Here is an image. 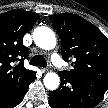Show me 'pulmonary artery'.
I'll list each match as a JSON object with an SVG mask.
<instances>
[{
	"label": "pulmonary artery",
	"mask_w": 108,
	"mask_h": 108,
	"mask_svg": "<svg viewBox=\"0 0 108 108\" xmlns=\"http://www.w3.org/2000/svg\"><path fill=\"white\" fill-rule=\"evenodd\" d=\"M52 61L55 65H57L58 67H61L63 65L61 59L57 56V55H53L52 56Z\"/></svg>",
	"instance_id": "pulmonary-artery-1"
}]
</instances>
